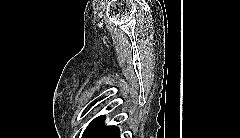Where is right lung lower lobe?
<instances>
[{"label":"right lung lower lobe","mask_w":240,"mask_h":138,"mask_svg":"<svg viewBox=\"0 0 240 138\" xmlns=\"http://www.w3.org/2000/svg\"><path fill=\"white\" fill-rule=\"evenodd\" d=\"M87 138H120V131L118 127L104 126L102 123Z\"/></svg>","instance_id":"98d812e1"}]
</instances>
